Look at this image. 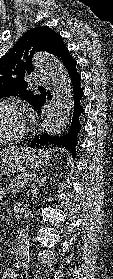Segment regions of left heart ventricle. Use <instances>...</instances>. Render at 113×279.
I'll list each match as a JSON object with an SVG mask.
<instances>
[{"mask_svg":"<svg viewBox=\"0 0 113 279\" xmlns=\"http://www.w3.org/2000/svg\"><path fill=\"white\" fill-rule=\"evenodd\" d=\"M24 127V115L10 105L0 106V138L15 136L21 133Z\"/></svg>","mask_w":113,"mask_h":279,"instance_id":"1","label":"left heart ventricle"}]
</instances>
